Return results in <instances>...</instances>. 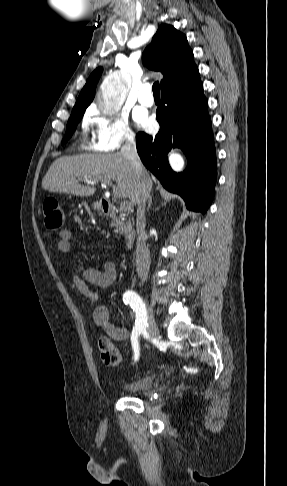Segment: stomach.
I'll list each match as a JSON object with an SVG mask.
<instances>
[{"label": "stomach", "instance_id": "1", "mask_svg": "<svg viewBox=\"0 0 287 486\" xmlns=\"http://www.w3.org/2000/svg\"><path fill=\"white\" fill-rule=\"evenodd\" d=\"M94 209L99 210L100 209V204L98 202L93 204Z\"/></svg>", "mask_w": 287, "mask_h": 486}]
</instances>
